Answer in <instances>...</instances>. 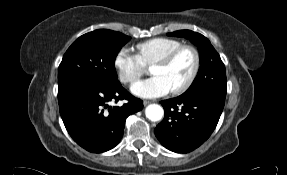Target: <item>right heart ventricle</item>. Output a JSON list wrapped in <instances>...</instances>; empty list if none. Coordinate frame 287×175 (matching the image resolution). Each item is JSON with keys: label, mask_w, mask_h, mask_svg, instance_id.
I'll use <instances>...</instances> for the list:
<instances>
[{"label": "right heart ventricle", "mask_w": 287, "mask_h": 175, "mask_svg": "<svg viewBox=\"0 0 287 175\" xmlns=\"http://www.w3.org/2000/svg\"><path fill=\"white\" fill-rule=\"evenodd\" d=\"M179 39L156 37L137 44L139 56L145 65H152L157 59L182 45Z\"/></svg>", "instance_id": "right-heart-ventricle-1"}]
</instances>
